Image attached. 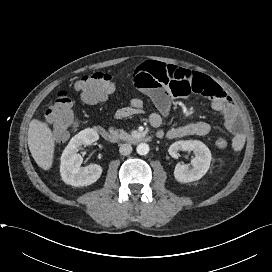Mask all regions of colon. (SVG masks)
<instances>
[{
  "label": "colon",
  "instance_id": "1",
  "mask_svg": "<svg viewBox=\"0 0 272 272\" xmlns=\"http://www.w3.org/2000/svg\"><path fill=\"white\" fill-rule=\"evenodd\" d=\"M75 89L80 93L83 101L96 103L105 100L112 94L115 84L109 74L94 71L78 78L75 82ZM129 106L135 110H142L144 102L140 98H133ZM46 120L59 140L64 139L68 131L77 124L78 117L68 91L63 90L57 93L55 101L46 112ZM215 145L219 149H225L229 143L225 138L219 137Z\"/></svg>",
  "mask_w": 272,
  "mask_h": 272
}]
</instances>
